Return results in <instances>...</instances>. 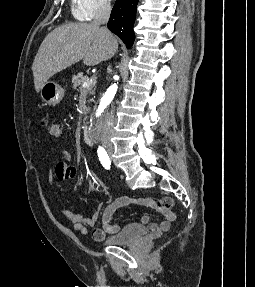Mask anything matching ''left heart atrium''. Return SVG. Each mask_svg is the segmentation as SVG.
Segmentation results:
<instances>
[{
    "instance_id": "39dd6f15",
    "label": "left heart atrium",
    "mask_w": 255,
    "mask_h": 287,
    "mask_svg": "<svg viewBox=\"0 0 255 287\" xmlns=\"http://www.w3.org/2000/svg\"><path fill=\"white\" fill-rule=\"evenodd\" d=\"M75 33H93V32H75ZM73 39H91V38H73ZM75 48H88V47H75Z\"/></svg>"
}]
</instances>
